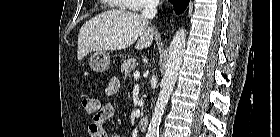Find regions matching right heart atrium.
Segmentation results:
<instances>
[{"instance_id": "d8ad5b80", "label": "right heart atrium", "mask_w": 280, "mask_h": 137, "mask_svg": "<svg viewBox=\"0 0 280 137\" xmlns=\"http://www.w3.org/2000/svg\"><path fill=\"white\" fill-rule=\"evenodd\" d=\"M134 3L136 4V9L143 10L147 9L152 6L153 1L152 0H134Z\"/></svg>"}]
</instances>
